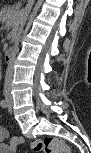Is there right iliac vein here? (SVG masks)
<instances>
[{"instance_id":"63e3f726","label":"right iliac vein","mask_w":91,"mask_h":153,"mask_svg":"<svg viewBox=\"0 0 91 153\" xmlns=\"http://www.w3.org/2000/svg\"><path fill=\"white\" fill-rule=\"evenodd\" d=\"M8 100H10V96H7Z\"/></svg>"}]
</instances>
